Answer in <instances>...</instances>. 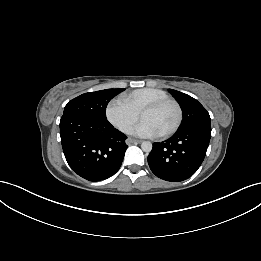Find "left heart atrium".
Masks as SVG:
<instances>
[{
  "mask_svg": "<svg viewBox=\"0 0 261 261\" xmlns=\"http://www.w3.org/2000/svg\"><path fill=\"white\" fill-rule=\"evenodd\" d=\"M132 133L140 137H157L161 135V132L158 128L147 120H142L138 123L132 130Z\"/></svg>",
  "mask_w": 261,
  "mask_h": 261,
  "instance_id": "left-heart-atrium-1",
  "label": "left heart atrium"
}]
</instances>
